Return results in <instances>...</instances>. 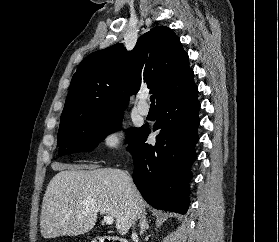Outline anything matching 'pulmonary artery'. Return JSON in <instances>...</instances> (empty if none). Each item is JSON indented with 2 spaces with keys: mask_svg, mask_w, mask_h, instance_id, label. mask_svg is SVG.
Returning a JSON list of instances; mask_svg holds the SVG:
<instances>
[{
  "mask_svg": "<svg viewBox=\"0 0 279 242\" xmlns=\"http://www.w3.org/2000/svg\"><path fill=\"white\" fill-rule=\"evenodd\" d=\"M139 114L146 116L149 113V107L145 104V98H142L137 106Z\"/></svg>",
  "mask_w": 279,
  "mask_h": 242,
  "instance_id": "1",
  "label": "pulmonary artery"
}]
</instances>
